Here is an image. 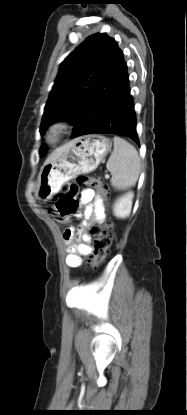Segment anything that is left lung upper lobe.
I'll list each match as a JSON object with an SVG mask.
<instances>
[{"label": "left lung upper lobe", "instance_id": "left-lung-upper-lobe-1", "mask_svg": "<svg viewBox=\"0 0 187 415\" xmlns=\"http://www.w3.org/2000/svg\"><path fill=\"white\" fill-rule=\"evenodd\" d=\"M116 45L113 38L97 33L88 37L61 63L44 109L41 134L53 122L66 120L76 126L86 115L96 113L99 102L91 103L90 97ZM39 153L44 155L46 151Z\"/></svg>", "mask_w": 187, "mask_h": 415}]
</instances>
